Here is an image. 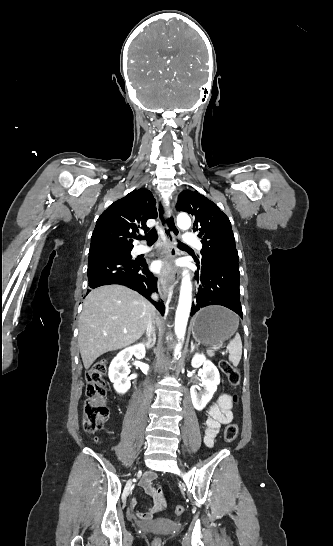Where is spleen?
<instances>
[{
  "mask_svg": "<svg viewBox=\"0 0 333 546\" xmlns=\"http://www.w3.org/2000/svg\"><path fill=\"white\" fill-rule=\"evenodd\" d=\"M236 319L237 325H239V319L237 316ZM227 350L229 351V361L234 366H238L242 356V341L238 333H236L235 337L227 345Z\"/></svg>",
  "mask_w": 333,
  "mask_h": 546,
  "instance_id": "obj_1",
  "label": "spleen"
}]
</instances>
